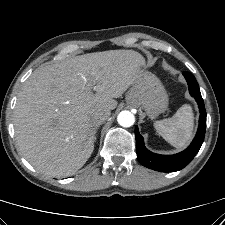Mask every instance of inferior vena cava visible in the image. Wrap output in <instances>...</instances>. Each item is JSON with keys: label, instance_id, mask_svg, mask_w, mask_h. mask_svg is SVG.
Instances as JSON below:
<instances>
[{"label": "inferior vena cava", "instance_id": "inferior-vena-cava-1", "mask_svg": "<svg viewBox=\"0 0 225 225\" xmlns=\"http://www.w3.org/2000/svg\"><path fill=\"white\" fill-rule=\"evenodd\" d=\"M111 115L109 109L104 107H98L93 109L91 113V121L94 125H98L106 121Z\"/></svg>", "mask_w": 225, "mask_h": 225}]
</instances>
